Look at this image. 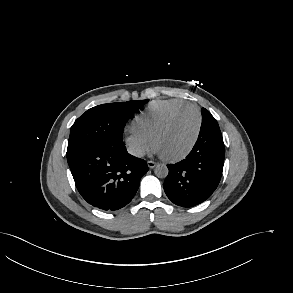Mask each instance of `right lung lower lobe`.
<instances>
[{"label": "right lung lower lobe", "instance_id": "98d812e1", "mask_svg": "<svg viewBox=\"0 0 293 293\" xmlns=\"http://www.w3.org/2000/svg\"><path fill=\"white\" fill-rule=\"evenodd\" d=\"M76 187L92 206L118 210L136 194L146 161L130 155L123 141L93 145L67 158Z\"/></svg>", "mask_w": 293, "mask_h": 293}]
</instances>
